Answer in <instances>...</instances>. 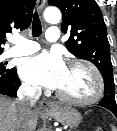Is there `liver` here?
Here are the masks:
<instances>
[{"label":"liver","mask_w":117,"mask_h":131,"mask_svg":"<svg viewBox=\"0 0 117 131\" xmlns=\"http://www.w3.org/2000/svg\"><path fill=\"white\" fill-rule=\"evenodd\" d=\"M37 120L36 111L24 114L17 100L0 96V131H34Z\"/></svg>","instance_id":"obj_1"}]
</instances>
